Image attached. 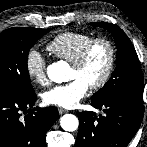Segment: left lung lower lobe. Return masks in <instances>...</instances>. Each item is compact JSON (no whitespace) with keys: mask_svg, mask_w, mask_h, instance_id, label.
Listing matches in <instances>:
<instances>
[{"mask_svg":"<svg viewBox=\"0 0 147 147\" xmlns=\"http://www.w3.org/2000/svg\"><path fill=\"white\" fill-rule=\"evenodd\" d=\"M92 106L105 115L78 112L80 121L74 147H126L141 125L143 103L126 99L92 101Z\"/></svg>","mask_w":147,"mask_h":147,"instance_id":"1","label":"left lung lower lobe"}]
</instances>
